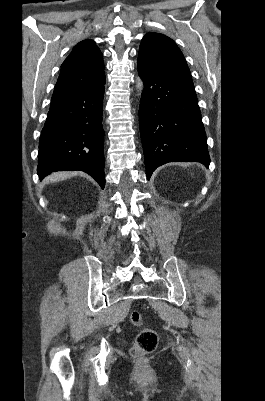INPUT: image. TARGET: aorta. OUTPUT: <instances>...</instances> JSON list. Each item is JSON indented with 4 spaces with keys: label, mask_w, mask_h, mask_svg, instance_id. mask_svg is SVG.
<instances>
[{
    "label": "aorta",
    "mask_w": 265,
    "mask_h": 401,
    "mask_svg": "<svg viewBox=\"0 0 265 401\" xmlns=\"http://www.w3.org/2000/svg\"><path fill=\"white\" fill-rule=\"evenodd\" d=\"M136 88H137L138 92H142V90H143V82H142L140 76H137V78H136Z\"/></svg>",
    "instance_id": "762f6f07"
}]
</instances>
